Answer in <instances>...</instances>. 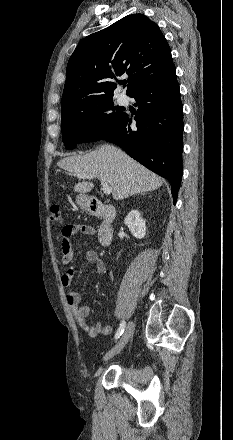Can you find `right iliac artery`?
<instances>
[{
    "label": "right iliac artery",
    "instance_id": "obj_1",
    "mask_svg": "<svg viewBox=\"0 0 233 440\" xmlns=\"http://www.w3.org/2000/svg\"><path fill=\"white\" fill-rule=\"evenodd\" d=\"M124 329H125V321H122L120 323V326H119L116 334H115V339H118L123 334Z\"/></svg>",
    "mask_w": 233,
    "mask_h": 440
}]
</instances>
